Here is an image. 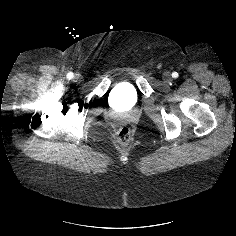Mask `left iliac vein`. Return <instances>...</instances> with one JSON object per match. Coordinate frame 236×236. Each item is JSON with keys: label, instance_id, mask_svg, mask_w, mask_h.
<instances>
[{"label": "left iliac vein", "instance_id": "obj_1", "mask_svg": "<svg viewBox=\"0 0 236 236\" xmlns=\"http://www.w3.org/2000/svg\"><path fill=\"white\" fill-rule=\"evenodd\" d=\"M165 81H169L170 80V75L168 73H166L164 75Z\"/></svg>", "mask_w": 236, "mask_h": 236}]
</instances>
